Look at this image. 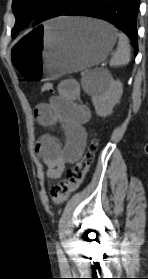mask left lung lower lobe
Instances as JSON below:
<instances>
[{"mask_svg":"<svg viewBox=\"0 0 148 279\" xmlns=\"http://www.w3.org/2000/svg\"><path fill=\"white\" fill-rule=\"evenodd\" d=\"M140 0H74L60 15L89 16L106 20L122 30L138 52L136 19Z\"/></svg>","mask_w":148,"mask_h":279,"instance_id":"1","label":"left lung lower lobe"}]
</instances>
